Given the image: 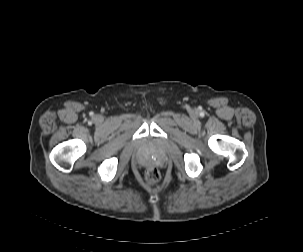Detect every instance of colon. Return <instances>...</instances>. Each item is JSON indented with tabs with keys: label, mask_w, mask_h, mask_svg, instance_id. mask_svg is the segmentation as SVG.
<instances>
[{
	"label": "colon",
	"mask_w": 303,
	"mask_h": 252,
	"mask_svg": "<svg viewBox=\"0 0 303 252\" xmlns=\"http://www.w3.org/2000/svg\"><path fill=\"white\" fill-rule=\"evenodd\" d=\"M145 177L149 183L154 184L160 179V172L157 168L151 167L146 170Z\"/></svg>",
	"instance_id": "colon-1"
}]
</instances>
